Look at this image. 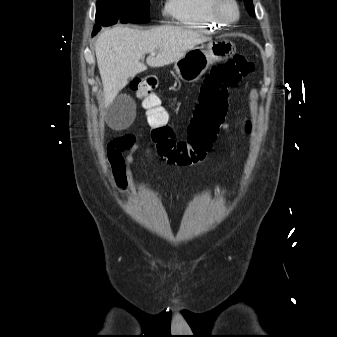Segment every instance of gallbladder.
Returning a JSON list of instances; mask_svg holds the SVG:
<instances>
[{"label":"gallbladder","instance_id":"gallbladder-1","mask_svg":"<svg viewBox=\"0 0 337 337\" xmlns=\"http://www.w3.org/2000/svg\"><path fill=\"white\" fill-rule=\"evenodd\" d=\"M135 117V102L129 95L116 97L107 110V123L113 129L128 127Z\"/></svg>","mask_w":337,"mask_h":337}]
</instances>
